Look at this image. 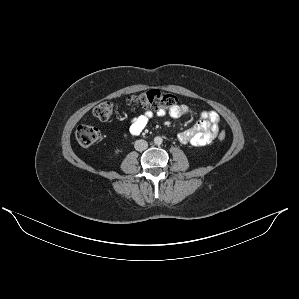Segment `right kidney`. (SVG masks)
<instances>
[{
  "label": "right kidney",
  "mask_w": 299,
  "mask_h": 299,
  "mask_svg": "<svg viewBox=\"0 0 299 299\" xmlns=\"http://www.w3.org/2000/svg\"><path fill=\"white\" fill-rule=\"evenodd\" d=\"M119 153V150H115V154H118Z\"/></svg>",
  "instance_id": "obj_1"
}]
</instances>
